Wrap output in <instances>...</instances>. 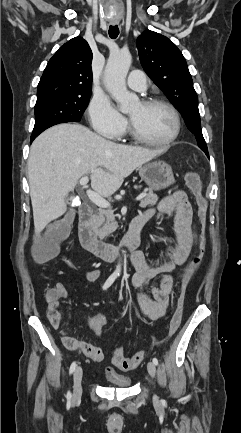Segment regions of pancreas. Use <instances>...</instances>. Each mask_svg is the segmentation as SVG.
<instances>
[{
	"mask_svg": "<svg viewBox=\"0 0 241 433\" xmlns=\"http://www.w3.org/2000/svg\"><path fill=\"white\" fill-rule=\"evenodd\" d=\"M158 201V196L149 190L144 199L140 203V207L154 206ZM93 227L96 234L100 238L106 237L114 232L118 224L115 222L114 214L111 209L100 208L93 216Z\"/></svg>",
	"mask_w": 241,
	"mask_h": 433,
	"instance_id": "obj_1",
	"label": "pancreas"
}]
</instances>
